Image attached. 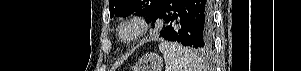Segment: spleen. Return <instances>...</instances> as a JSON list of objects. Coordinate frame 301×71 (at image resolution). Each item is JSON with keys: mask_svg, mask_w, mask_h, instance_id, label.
<instances>
[{"mask_svg": "<svg viewBox=\"0 0 301 71\" xmlns=\"http://www.w3.org/2000/svg\"><path fill=\"white\" fill-rule=\"evenodd\" d=\"M159 50L164 56L165 71H205L201 58L180 44L162 42Z\"/></svg>", "mask_w": 301, "mask_h": 71, "instance_id": "spleen-1", "label": "spleen"}]
</instances>
